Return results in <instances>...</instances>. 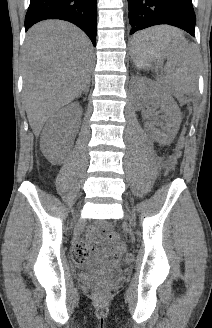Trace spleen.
I'll return each mask as SVG.
<instances>
[{
	"instance_id": "obj_1",
	"label": "spleen",
	"mask_w": 212,
	"mask_h": 328,
	"mask_svg": "<svg viewBox=\"0 0 212 328\" xmlns=\"http://www.w3.org/2000/svg\"><path fill=\"white\" fill-rule=\"evenodd\" d=\"M141 44L135 50L156 49L167 57L164 72L174 95L191 94L197 86L198 72L194 59L195 48L177 29L159 26L139 32L135 38Z\"/></svg>"
}]
</instances>
